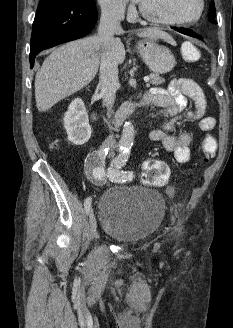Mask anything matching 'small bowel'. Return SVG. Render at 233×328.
<instances>
[{"instance_id": "small-bowel-1", "label": "small bowel", "mask_w": 233, "mask_h": 328, "mask_svg": "<svg viewBox=\"0 0 233 328\" xmlns=\"http://www.w3.org/2000/svg\"><path fill=\"white\" fill-rule=\"evenodd\" d=\"M148 95L151 103L164 109L167 118L160 128L150 131L149 138L160 142L166 151L173 153L179 163L189 162L193 154L191 133L174 135L173 132L176 124L183 119L195 121L204 132L216 126V119L206 115L208 105L202 88L192 79L178 78L172 80L166 88L151 89ZM187 99L193 102V109H187ZM167 192L170 195L174 193L171 185L167 186Z\"/></svg>"}]
</instances>
